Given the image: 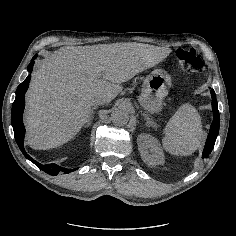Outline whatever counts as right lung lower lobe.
Listing matches in <instances>:
<instances>
[{
    "instance_id": "98d812e1",
    "label": "right lung lower lobe",
    "mask_w": 236,
    "mask_h": 236,
    "mask_svg": "<svg viewBox=\"0 0 236 236\" xmlns=\"http://www.w3.org/2000/svg\"><path fill=\"white\" fill-rule=\"evenodd\" d=\"M37 56H34L31 60V63L28 65V71L31 72L34 65V59ZM30 75L18 86L16 90V98L12 105V112H11V123L14 130V137L16 143L19 146V149L24 154V156L37 165L41 170L45 171L50 175H57L60 171L64 173L72 172L75 169H65L61 166H57L56 164H46L42 165L41 163L35 161L31 156H29L24 148V135H25V127L22 121L23 110L25 106V92L28 89L29 82H30Z\"/></svg>"
}]
</instances>
